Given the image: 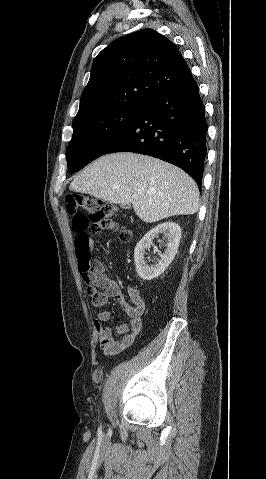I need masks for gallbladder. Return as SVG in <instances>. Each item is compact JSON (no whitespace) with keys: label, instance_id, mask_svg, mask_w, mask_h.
<instances>
[{"label":"gallbladder","instance_id":"1","mask_svg":"<svg viewBox=\"0 0 266 479\" xmlns=\"http://www.w3.org/2000/svg\"><path fill=\"white\" fill-rule=\"evenodd\" d=\"M130 207H131L130 204L125 205V208H130Z\"/></svg>","mask_w":266,"mask_h":479}]
</instances>
